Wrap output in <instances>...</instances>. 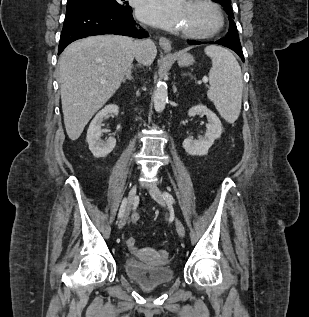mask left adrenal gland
Listing matches in <instances>:
<instances>
[{
	"label": "left adrenal gland",
	"instance_id": "a2214340",
	"mask_svg": "<svg viewBox=\"0 0 309 317\" xmlns=\"http://www.w3.org/2000/svg\"><path fill=\"white\" fill-rule=\"evenodd\" d=\"M187 74L186 73H183V76H186Z\"/></svg>",
	"mask_w": 309,
	"mask_h": 317
}]
</instances>
